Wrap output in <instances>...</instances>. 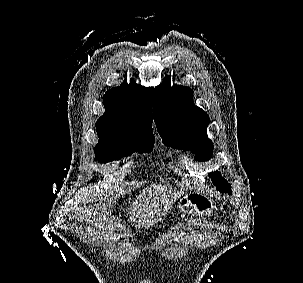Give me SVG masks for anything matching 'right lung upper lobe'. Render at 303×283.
Here are the masks:
<instances>
[{
    "label": "right lung upper lobe",
    "instance_id": "obj_1",
    "mask_svg": "<svg viewBox=\"0 0 303 283\" xmlns=\"http://www.w3.org/2000/svg\"><path fill=\"white\" fill-rule=\"evenodd\" d=\"M152 93L151 88L133 80L129 84L125 80L119 87L108 90L103 97L105 113L96 123L97 132L151 126Z\"/></svg>",
    "mask_w": 303,
    "mask_h": 283
}]
</instances>
